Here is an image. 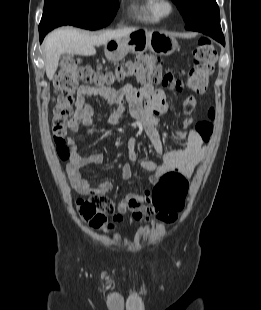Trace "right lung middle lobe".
<instances>
[{"label":"right lung middle lobe","mask_w":261,"mask_h":310,"mask_svg":"<svg viewBox=\"0 0 261 310\" xmlns=\"http://www.w3.org/2000/svg\"><path fill=\"white\" fill-rule=\"evenodd\" d=\"M118 9L117 0H45L40 29L61 25L95 30L107 26Z\"/></svg>","instance_id":"right-lung-middle-lobe-1"}]
</instances>
